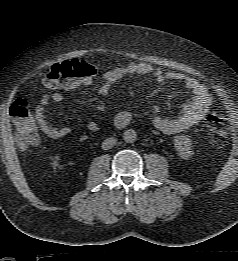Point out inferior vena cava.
<instances>
[{
    "mask_svg": "<svg viewBox=\"0 0 238 261\" xmlns=\"http://www.w3.org/2000/svg\"><path fill=\"white\" fill-rule=\"evenodd\" d=\"M117 142L116 138H107L102 142V149L103 150H109L111 149Z\"/></svg>",
    "mask_w": 238,
    "mask_h": 261,
    "instance_id": "602c4592",
    "label": "inferior vena cava"
}]
</instances>
